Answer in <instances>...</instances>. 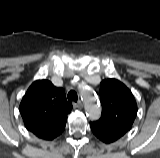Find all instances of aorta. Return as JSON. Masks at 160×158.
I'll return each instance as SVG.
<instances>
[{
  "mask_svg": "<svg viewBox=\"0 0 160 158\" xmlns=\"http://www.w3.org/2000/svg\"><path fill=\"white\" fill-rule=\"evenodd\" d=\"M81 96L85 103V110L90 120H98L101 116V108L97 97L89 89H81Z\"/></svg>",
  "mask_w": 160,
  "mask_h": 158,
  "instance_id": "obj_1",
  "label": "aorta"
}]
</instances>
